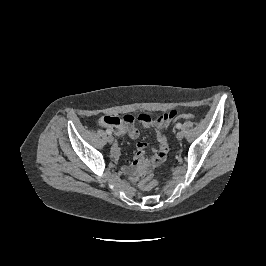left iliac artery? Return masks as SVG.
<instances>
[{
  "label": "left iliac artery",
  "instance_id": "left-iliac-artery-1",
  "mask_svg": "<svg viewBox=\"0 0 266 266\" xmlns=\"http://www.w3.org/2000/svg\"><path fill=\"white\" fill-rule=\"evenodd\" d=\"M181 127H182L181 123H177V124H176V128H177V129H180Z\"/></svg>",
  "mask_w": 266,
  "mask_h": 266
}]
</instances>
